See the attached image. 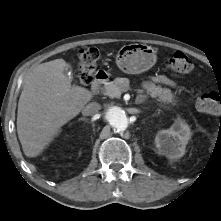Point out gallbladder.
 <instances>
[{
    "mask_svg": "<svg viewBox=\"0 0 221 221\" xmlns=\"http://www.w3.org/2000/svg\"><path fill=\"white\" fill-rule=\"evenodd\" d=\"M68 71H70V70L66 68V69H65V73L68 72Z\"/></svg>",
    "mask_w": 221,
    "mask_h": 221,
    "instance_id": "obj_1",
    "label": "gallbladder"
}]
</instances>
